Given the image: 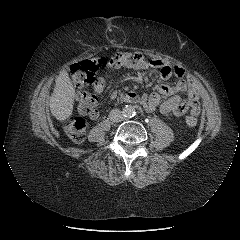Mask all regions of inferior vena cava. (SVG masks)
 I'll use <instances>...</instances> for the list:
<instances>
[{
    "instance_id": "inferior-vena-cava-1",
    "label": "inferior vena cava",
    "mask_w": 240,
    "mask_h": 240,
    "mask_svg": "<svg viewBox=\"0 0 240 240\" xmlns=\"http://www.w3.org/2000/svg\"><path fill=\"white\" fill-rule=\"evenodd\" d=\"M109 118L111 121L118 123L124 120V114L119 109H113L109 113Z\"/></svg>"
}]
</instances>
